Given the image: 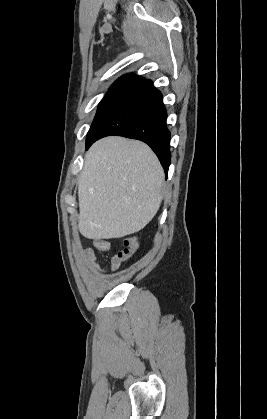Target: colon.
Wrapping results in <instances>:
<instances>
[{"instance_id":"5ec220e1","label":"colon","mask_w":267,"mask_h":419,"mask_svg":"<svg viewBox=\"0 0 267 419\" xmlns=\"http://www.w3.org/2000/svg\"><path fill=\"white\" fill-rule=\"evenodd\" d=\"M138 248V240L135 236L130 235L125 237L123 249L119 251L116 256L120 262L129 258Z\"/></svg>"}]
</instances>
